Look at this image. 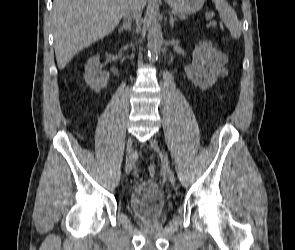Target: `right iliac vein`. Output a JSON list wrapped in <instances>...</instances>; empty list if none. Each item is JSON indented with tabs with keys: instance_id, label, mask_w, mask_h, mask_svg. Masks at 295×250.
Returning a JSON list of instances; mask_svg holds the SVG:
<instances>
[{
	"instance_id": "1",
	"label": "right iliac vein",
	"mask_w": 295,
	"mask_h": 250,
	"mask_svg": "<svg viewBox=\"0 0 295 250\" xmlns=\"http://www.w3.org/2000/svg\"><path fill=\"white\" fill-rule=\"evenodd\" d=\"M135 152L133 149V140L132 138H129L127 141V147H126V161H125V171L127 173L131 172L134 167L135 162Z\"/></svg>"
}]
</instances>
